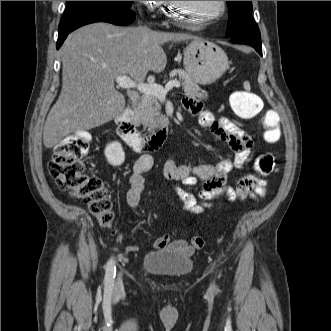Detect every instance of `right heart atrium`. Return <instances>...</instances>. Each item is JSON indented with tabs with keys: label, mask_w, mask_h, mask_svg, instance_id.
<instances>
[{
	"label": "right heart atrium",
	"mask_w": 331,
	"mask_h": 331,
	"mask_svg": "<svg viewBox=\"0 0 331 331\" xmlns=\"http://www.w3.org/2000/svg\"><path fill=\"white\" fill-rule=\"evenodd\" d=\"M162 2L163 1H137L139 6V16H142V19H156V12Z\"/></svg>",
	"instance_id": "obj_1"
}]
</instances>
